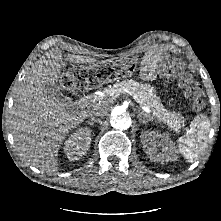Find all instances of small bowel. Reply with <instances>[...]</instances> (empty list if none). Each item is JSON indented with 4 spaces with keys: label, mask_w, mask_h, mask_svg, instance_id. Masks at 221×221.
I'll list each match as a JSON object with an SVG mask.
<instances>
[{
    "label": "small bowel",
    "mask_w": 221,
    "mask_h": 221,
    "mask_svg": "<svg viewBox=\"0 0 221 221\" xmlns=\"http://www.w3.org/2000/svg\"><path fill=\"white\" fill-rule=\"evenodd\" d=\"M141 77L146 81H152L156 77L155 61L151 58H145L141 71Z\"/></svg>",
    "instance_id": "obj_1"
}]
</instances>
